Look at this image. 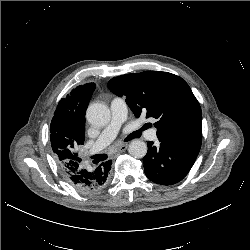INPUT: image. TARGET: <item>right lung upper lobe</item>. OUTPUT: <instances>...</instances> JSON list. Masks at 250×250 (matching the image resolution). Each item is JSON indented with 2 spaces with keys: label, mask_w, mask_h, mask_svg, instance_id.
Returning <instances> with one entry per match:
<instances>
[{
  "label": "right lung upper lobe",
  "mask_w": 250,
  "mask_h": 250,
  "mask_svg": "<svg viewBox=\"0 0 250 250\" xmlns=\"http://www.w3.org/2000/svg\"><path fill=\"white\" fill-rule=\"evenodd\" d=\"M94 90L95 84L87 83L76 87L61 99L50 125V141L75 143L77 140L85 139V112ZM80 160H68L63 155L57 156L59 164Z\"/></svg>",
  "instance_id": "obj_1"
}]
</instances>
